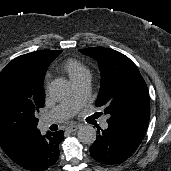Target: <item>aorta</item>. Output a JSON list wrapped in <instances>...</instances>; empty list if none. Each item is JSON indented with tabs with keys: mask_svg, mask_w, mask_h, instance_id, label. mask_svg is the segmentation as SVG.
<instances>
[{
	"mask_svg": "<svg viewBox=\"0 0 171 171\" xmlns=\"http://www.w3.org/2000/svg\"><path fill=\"white\" fill-rule=\"evenodd\" d=\"M71 92V83L63 78L55 79L49 85V94L56 100H63L67 98ZM96 137V130L90 125L81 126L77 132V138L83 144H93L96 140Z\"/></svg>",
	"mask_w": 171,
	"mask_h": 171,
	"instance_id": "obj_1",
	"label": "aorta"
}]
</instances>
